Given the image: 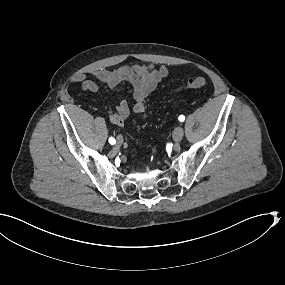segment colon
<instances>
[{"mask_svg":"<svg viewBox=\"0 0 285 285\" xmlns=\"http://www.w3.org/2000/svg\"><path fill=\"white\" fill-rule=\"evenodd\" d=\"M207 85L204 77H190L180 87V89H199Z\"/></svg>","mask_w":285,"mask_h":285,"instance_id":"1","label":"colon"}]
</instances>
